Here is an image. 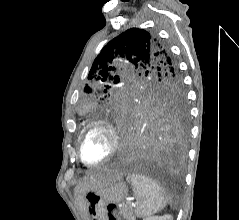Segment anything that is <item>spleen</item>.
<instances>
[{
  "label": "spleen",
  "instance_id": "spleen-1",
  "mask_svg": "<svg viewBox=\"0 0 239 220\" xmlns=\"http://www.w3.org/2000/svg\"><path fill=\"white\" fill-rule=\"evenodd\" d=\"M137 199L135 214L139 218L151 216L167 205L162 188L152 179L140 174L128 176Z\"/></svg>",
  "mask_w": 239,
  "mask_h": 220
}]
</instances>
